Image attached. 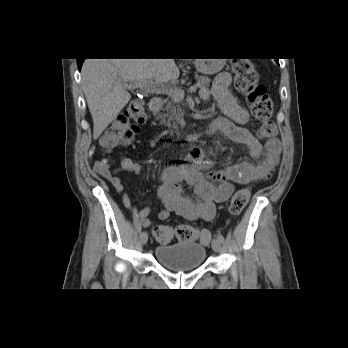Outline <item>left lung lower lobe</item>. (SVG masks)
I'll use <instances>...</instances> for the list:
<instances>
[{"label":"left lung lower lobe","mask_w":348,"mask_h":348,"mask_svg":"<svg viewBox=\"0 0 348 348\" xmlns=\"http://www.w3.org/2000/svg\"><path fill=\"white\" fill-rule=\"evenodd\" d=\"M275 60H276V62L279 64L278 59H275Z\"/></svg>","instance_id":"obj_1"}]
</instances>
